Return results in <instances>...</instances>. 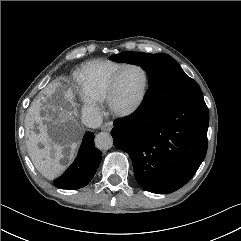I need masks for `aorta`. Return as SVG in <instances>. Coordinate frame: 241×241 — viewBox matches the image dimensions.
<instances>
[{
    "label": "aorta",
    "mask_w": 241,
    "mask_h": 241,
    "mask_svg": "<svg viewBox=\"0 0 241 241\" xmlns=\"http://www.w3.org/2000/svg\"><path fill=\"white\" fill-rule=\"evenodd\" d=\"M95 145L98 149L108 150L113 146V138L107 132H100L95 137Z\"/></svg>",
    "instance_id": "762f6f07"
}]
</instances>
